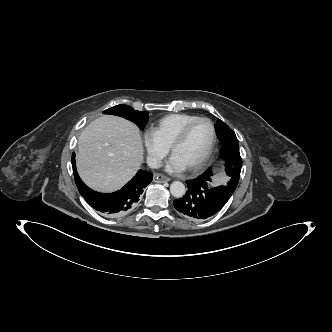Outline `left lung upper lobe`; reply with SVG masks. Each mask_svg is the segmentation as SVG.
Wrapping results in <instances>:
<instances>
[{"mask_svg":"<svg viewBox=\"0 0 332 332\" xmlns=\"http://www.w3.org/2000/svg\"><path fill=\"white\" fill-rule=\"evenodd\" d=\"M215 127L218 138L224 143L221 155L226 160V172L230 177V181L225 186H219L218 188H220L222 192L228 195H232L237 187L242 167V162L239 156H237L233 150L234 147H239V143L232 129L220 119L217 120ZM202 175H204V179L209 182L211 176L210 169L204 172Z\"/></svg>","mask_w":332,"mask_h":332,"instance_id":"left-lung-upper-lobe-1","label":"left lung upper lobe"}]
</instances>
